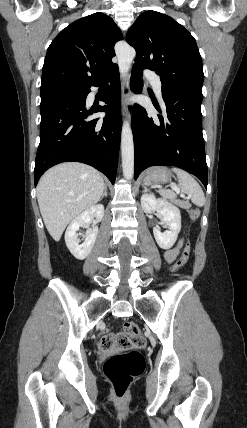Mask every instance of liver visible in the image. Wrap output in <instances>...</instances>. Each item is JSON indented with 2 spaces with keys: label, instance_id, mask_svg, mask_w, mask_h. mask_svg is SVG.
Returning a JSON list of instances; mask_svg holds the SVG:
<instances>
[{
  "label": "liver",
  "instance_id": "6515ba94",
  "mask_svg": "<svg viewBox=\"0 0 247 428\" xmlns=\"http://www.w3.org/2000/svg\"><path fill=\"white\" fill-rule=\"evenodd\" d=\"M104 185L96 169L77 162L59 164L43 174L37 199L44 224L55 241L72 220L100 200Z\"/></svg>",
  "mask_w": 247,
  "mask_h": 428
}]
</instances>
